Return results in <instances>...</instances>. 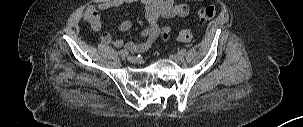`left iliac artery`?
Returning <instances> with one entry per match:
<instances>
[{
    "label": "left iliac artery",
    "mask_w": 303,
    "mask_h": 127,
    "mask_svg": "<svg viewBox=\"0 0 303 127\" xmlns=\"http://www.w3.org/2000/svg\"><path fill=\"white\" fill-rule=\"evenodd\" d=\"M178 53H179L181 56H185V55H186V50H185V49H181Z\"/></svg>",
    "instance_id": "left-iliac-artery-1"
}]
</instances>
